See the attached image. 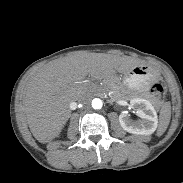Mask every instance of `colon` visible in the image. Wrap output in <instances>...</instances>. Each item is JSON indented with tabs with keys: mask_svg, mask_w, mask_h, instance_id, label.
<instances>
[{
	"mask_svg": "<svg viewBox=\"0 0 183 183\" xmlns=\"http://www.w3.org/2000/svg\"><path fill=\"white\" fill-rule=\"evenodd\" d=\"M151 92L155 95V96H160L163 92V87L160 83H155L152 85L151 87Z\"/></svg>",
	"mask_w": 183,
	"mask_h": 183,
	"instance_id": "5ec220e1",
	"label": "colon"
}]
</instances>
